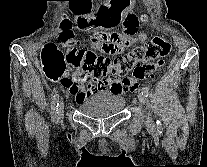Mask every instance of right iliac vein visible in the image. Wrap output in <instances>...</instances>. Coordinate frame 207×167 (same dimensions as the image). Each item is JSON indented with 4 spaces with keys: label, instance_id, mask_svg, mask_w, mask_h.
I'll use <instances>...</instances> for the list:
<instances>
[{
    "label": "right iliac vein",
    "instance_id": "1",
    "mask_svg": "<svg viewBox=\"0 0 207 167\" xmlns=\"http://www.w3.org/2000/svg\"><path fill=\"white\" fill-rule=\"evenodd\" d=\"M64 112V102L60 101L59 106H58V114L61 117L63 115Z\"/></svg>",
    "mask_w": 207,
    "mask_h": 167
}]
</instances>
